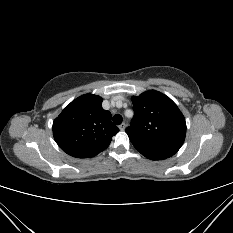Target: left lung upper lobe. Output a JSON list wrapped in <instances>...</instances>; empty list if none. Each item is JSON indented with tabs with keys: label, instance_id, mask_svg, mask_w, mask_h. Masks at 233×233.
Returning a JSON list of instances; mask_svg holds the SVG:
<instances>
[{
	"label": "left lung upper lobe",
	"instance_id": "5c2ea615",
	"mask_svg": "<svg viewBox=\"0 0 233 233\" xmlns=\"http://www.w3.org/2000/svg\"><path fill=\"white\" fill-rule=\"evenodd\" d=\"M132 102L134 117L125 131L134 147L151 160L173 156L186 135V122L177 105L155 90L133 96Z\"/></svg>",
	"mask_w": 233,
	"mask_h": 233
}]
</instances>
